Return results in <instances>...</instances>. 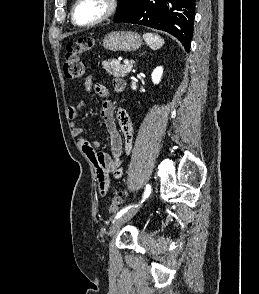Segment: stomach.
<instances>
[{"mask_svg": "<svg viewBox=\"0 0 259 294\" xmlns=\"http://www.w3.org/2000/svg\"><path fill=\"white\" fill-rule=\"evenodd\" d=\"M103 47L110 51H136L142 45L141 36L131 31H113L103 39Z\"/></svg>", "mask_w": 259, "mask_h": 294, "instance_id": "stomach-1", "label": "stomach"}]
</instances>
